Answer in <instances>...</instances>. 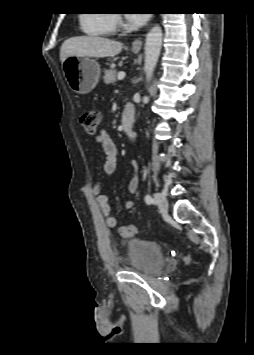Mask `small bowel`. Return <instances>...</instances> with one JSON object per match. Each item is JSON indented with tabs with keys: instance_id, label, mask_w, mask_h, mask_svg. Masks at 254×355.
I'll list each match as a JSON object with an SVG mask.
<instances>
[{
	"instance_id": "1",
	"label": "small bowel",
	"mask_w": 254,
	"mask_h": 355,
	"mask_svg": "<svg viewBox=\"0 0 254 355\" xmlns=\"http://www.w3.org/2000/svg\"><path fill=\"white\" fill-rule=\"evenodd\" d=\"M95 142L97 145H99L102 148V151L105 154V161L103 164L104 173L107 175L113 174L117 168V155H118V148L115 141L110 137V135L105 130H101L99 134L96 136ZM132 165L135 169V174L133 175V177L129 182L128 191L131 194H134L137 191L139 179L137 175V163L133 161ZM91 191L92 194L96 197L97 204L102 214L104 215L106 225L110 228L116 227L117 219L116 217L111 215V206L109 203V199L105 194H103L102 186L99 183H96L92 186ZM133 205L134 202L132 200H127L125 202V207L127 209H131Z\"/></svg>"
}]
</instances>
